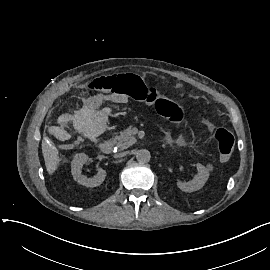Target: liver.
Returning a JSON list of instances; mask_svg holds the SVG:
<instances>
[{
    "label": "liver",
    "mask_w": 270,
    "mask_h": 270,
    "mask_svg": "<svg viewBox=\"0 0 270 270\" xmlns=\"http://www.w3.org/2000/svg\"><path fill=\"white\" fill-rule=\"evenodd\" d=\"M42 154L48 175H54L61 161L57 147L53 144H48L47 142L43 141Z\"/></svg>",
    "instance_id": "1"
}]
</instances>
